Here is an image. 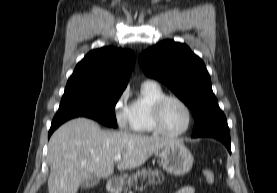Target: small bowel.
<instances>
[{
	"label": "small bowel",
	"mask_w": 277,
	"mask_h": 193,
	"mask_svg": "<svg viewBox=\"0 0 277 193\" xmlns=\"http://www.w3.org/2000/svg\"><path fill=\"white\" fill-rule=\"evenodd\" d=\"M174 193H196V190L193 186H184L175 191Z\"/></svg>",
	"instance_id": "small-bowel-1"
}]
</instances>
